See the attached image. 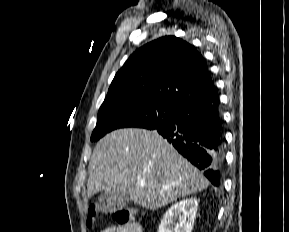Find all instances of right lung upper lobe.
<instances>
[{
	"instance_id": "right-lung-upper-lobe-1",
	"label": "right lung upper lobe",
	"mask_w": 289,
	"mask_h": 232,
	"mask_svg": "<svg viewBox=\"0 0 289 232\" xmlns=\"http://www.w3.org/2000/svg\"><path fill=\"white\" fill-rule=\"evenodd\" d=\"M142 96L179 108L218 97L202 55L189 43L165 36L137 49L116 73L105 99Z\"/></svg>"
}]
</instances>
